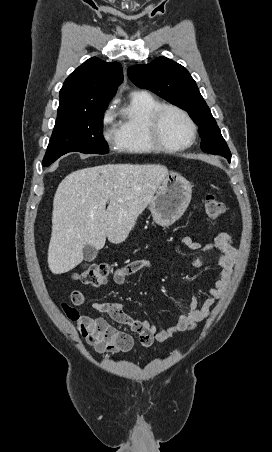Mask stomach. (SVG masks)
Listing matches in <instances>:
<instances>
[{
    "label": "stomach",
    "instance_id": "stomach-1",
    "mask_svg": "<svg viewBox=\"0 0 272 452\" xmlns=\"http://www.w3.org/2000/svg\"><path fill=\"white\" fill-rule=\"evenodd\" d=\"M192 196L190 183L179 173L170 171L160 183L159 190L149 203L156 224L170 226L187 209Z\"/></svg>",
    "mask_w": 272,
    "mask_h": 452
}]
</instances>
